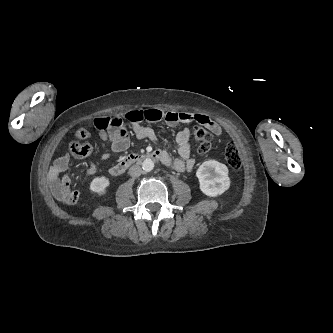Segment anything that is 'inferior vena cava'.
Here are the masks:
<instances>
[{
	"instance_id": "inferior-vena-cava-1",
	"label": "inferior vena cava",
	"mask_w": 333,
	"mask_h": 333,
	"mask_svg": "<svg viewBox=\"0 0 333 333\" xmlns=\"http://www.w3.org/2000/svg\"><path fill=\"white\" fill-rule=\"evenodd\" d=\"M142 174V169L140 166L133 165L129 169V175L132 177H139Z\"/></svg>"
}]
</instances>
